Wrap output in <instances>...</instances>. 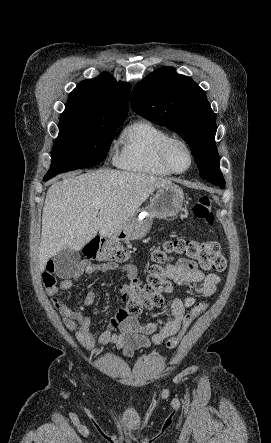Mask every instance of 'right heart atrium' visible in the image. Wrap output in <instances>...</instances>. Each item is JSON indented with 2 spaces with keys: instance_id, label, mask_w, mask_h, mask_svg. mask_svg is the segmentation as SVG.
I'll return each instance as SVG.
<instances>
[{
  "instance_id": "d8ad5b80",
  "label": "right heart atrium",
  "mask_w": 271,
  "mask_h": 443,
  "mask_svg": "<svg viewBox=\"0 0 271 443\" xmlns=\"http://www.w3.org/2000/svg\"><path fill=\"white\" fill-rule=\"evenodd\" d=\"M109 149H110V151L113 149V143L112 142L109 145Z\"/></svg>"
}]
</instances>
